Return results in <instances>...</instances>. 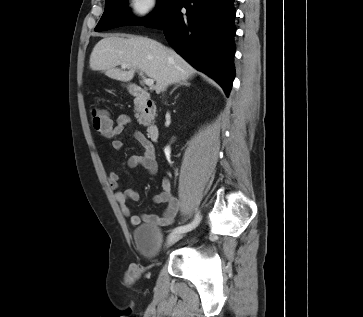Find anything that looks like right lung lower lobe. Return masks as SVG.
<instances>
[{
    "instance_id": "right-lung-lower-lobe-1",
    "label": "right lung lower lobe",
    "mask_w": 363,
    "mask_h": 317,
    "mask_svg": "<svg viewBox=\"0 0 363 317\" xmlns=\"http://www.w3.org/2000/svg\"><path fill=\"white\" fill-rule=\"evenodd\" d=\"M234 0H174L148 27L163 29L169 44L218 82L228 96L234 80ZM184 7L186 13H181Z\"/></svg>"
}]
</instances>
